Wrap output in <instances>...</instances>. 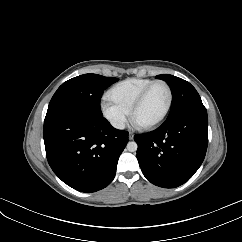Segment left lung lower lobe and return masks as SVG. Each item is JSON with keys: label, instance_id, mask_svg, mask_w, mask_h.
Instances as JSON below:
<instances>
[{"label": "left lung lower lobe", "instance_id": "1", "mask_svg": "<svg viewBox=\"0 0 242 242\" xmlns=\"http://www.w3.org/2000/svg\"><path fill=\"white\" fill-rule=\"evenodd\" d=\"M137 159L144 176L153 184L174 188L188 181L202 164L208 146L205 107L176 114L158 129L134 136Z\"/></svg>", "mask_w": 242, "mask_h": 242}]
</instances>
